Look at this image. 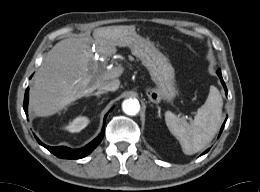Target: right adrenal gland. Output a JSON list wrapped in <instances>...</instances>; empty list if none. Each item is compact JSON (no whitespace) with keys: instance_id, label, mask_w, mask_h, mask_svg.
Segmentation results:
<instances>
[{"instance_id":"2a0ac1e0","label":"right adrenal gland","mask_w":260,"mask_h":192,"mask_svg":"<svg viewBox=\"0 0 260 192\" xmlns=\"http://www.w3.org/2000/svg\"><path fill=\"white\" fill-rule=\"evenodd\" d=\"M106 93L105 91H97L95 93L86 95V97H90V96H96L97 98H100L102 94Z\"/></svg>"}]
</instances>
